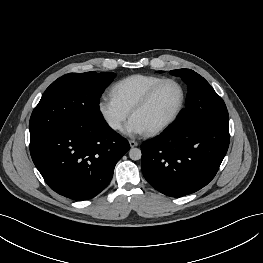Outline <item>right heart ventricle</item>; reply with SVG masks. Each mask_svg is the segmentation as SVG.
<instances>
[{"instance_id": "right-heart-ventricle-1", "label": "right heart ventricle", "mask_w": 263, "mask_h": 263, "mask_svg": "<svg viewBox=\"0 0 263 263\" xmlns=\"http://www.w3.org/2000/svg\"><path fill=\"white\" fill-rule=\"evenodd\" d=\"M163 77L157 75L135 74L117 81L110 90L111 96L126 110L131 108L143 95Z\"/></svg>"}]
</instances>
